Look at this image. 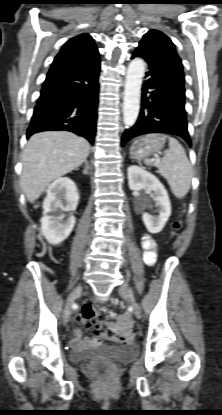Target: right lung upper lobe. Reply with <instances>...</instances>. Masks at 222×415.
Segmentation results:
<instances>
[{
	"label": "right lung upper lobe",
	"mask_w": 222,
	"mask_h": 415,
	"mask_svg": "<svg viewBox=\"0 0 222 415\" xmlns=\"http://www.w3.org/2000/svg\"><path fill=\"white\" fill-rule=\"evenodd\" d=\"M99 55L94 40L81 34L67 41L54 60H85Z\"/></svg>",
	"instance_id": "obj_1"
}]
</instances>
